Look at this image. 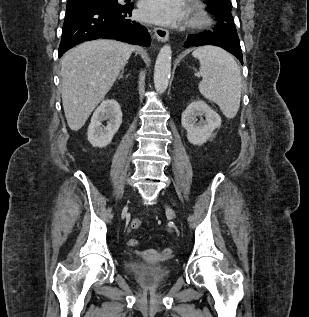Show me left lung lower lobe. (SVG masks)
<instances>
[{
  "mask_svg": "<svg viewBox=\"0 0 309 317\" xmlns=\"http://www.w3.org/2000/svg\"><path fill=\"white\" fill-rule=\"evenodd\" d=\"M203 45L219 46L236 56L243 64V56L237 34L220 32L215 29L214 32H207L201 35H189L184 47Z\"/></svg>",
  "mask_w": 309,
  "mask_h": 317,
  "instance_id": "0a47b994",
  "label": "left lung lower lobe"
}]
</instances>
